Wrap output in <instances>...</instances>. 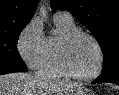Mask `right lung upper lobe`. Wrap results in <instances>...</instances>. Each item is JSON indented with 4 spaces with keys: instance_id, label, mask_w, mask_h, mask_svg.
<instances>
[{
    "instance_id": "right-lung-upper-lobe-1",
    "label": "right lung upper lobe",
    "mask_w": 119,
    "mask_h": 95,
    "mask_svg": "<svg viewBox=\"0 0 119 95\" xmlns=\"http://www.w3.org/2000/svg\"><path fill=\"white\" fill-rule=\"evenodd\" d=\"M38 0H0V27L29 23Z\"/></svg>"
}]
</instances>
